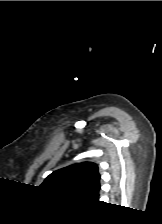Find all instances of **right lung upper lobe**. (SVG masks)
Wrapping results in <instances>:
<instances>
[{"instance_id": "1", "label": "right lung upper lobe", "mask_w": 162, "mask_h": 224, "mask_svg": "<svg viewBox=\"0 0 162 224\" xmlns=\"http://www.w3.org/2000/svg\"><path fill=\"white\" fill-rule=\"evenodd\" d=\"M99 180L98 166L92 162H83L54 171L41 187L85 200L98 201Z\"/></svg>"}]
</instances>
